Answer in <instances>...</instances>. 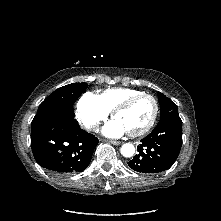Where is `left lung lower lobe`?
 Wrapping results in <instances>:
<instances>
[{
  "mask_svg": "<svg viewBox=\"0 0 221 221\" xmlns=\"http://www.w3.org/2000/svg\"><path fill=\"white\" fill-rule=\"evenodd\" d=\"M138 154L128 162L131 169L141 173H159L169 169L178 158L182 146V120L167 118L141 140Z\"/></svg>",
  "mask_w": 221,
  "mask_h": 221,
  "instance_id": "left-lung-lower-lobe-1",
  "label": "left lung lower lobe"
}]
</instances>
